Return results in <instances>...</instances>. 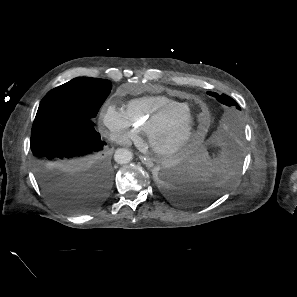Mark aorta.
I'll return each mask as SVG.
<instances>
[{"label": "aorta", "mask_w": 297, "mask_h": 297, "mask_svg": "<svg viewBox=\"0 0 297 297\" xmlns=\"http://www.w3.org/2000/svg\"><path fill=\"white\" fill-rule=\"evenodd\" d=\"M114 159L118 164H126L133 159V154L128 149L120 148L116 150Z\"/></svg>", "instance_id": "762f6f07"}]
</instances>
